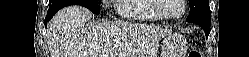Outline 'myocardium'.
<instances>
[{
	"mask_svg": "<svg viewBox=\"0 0 249 57\" xmlns=\"http://www.w3.org/2000/svg\"><path fill=\"white\" fill-rule=\"evenodd\" d=\"M182 9L180 13L176 15H167L163 9L165 7V1L164 0H154V7L157 13L166 20H177L180 19L186 12V0H180Z\"/></svg>",
	"mask_w": 249,
	"mask_h": 57,
	"instance_id": "obj_1",
	"label": "myocardium"
}]
</instances>
